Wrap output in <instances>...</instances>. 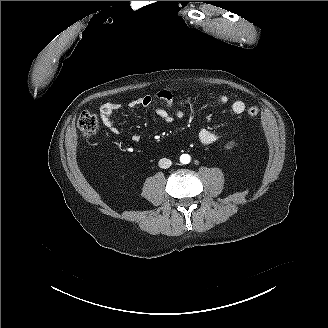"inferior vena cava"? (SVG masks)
Instances as JSON below:
<instances>
[{
  "label": "inferior vena cava",
  "instance_id": "602c4592",
  "mask_svg": "<svg viewBox=\"0 0 328 328\" xmlns=\"http://www.w3.org/2000/svg\"><path fill=\"white\" fill-rule=\"evenodd\" d=\"M172 162L170 159L162 158L159 160V167L163 169H167L171 166Z\"/></svg>",
  "mask_w": 328,
  "mask_h": 328
}]
</instances>
